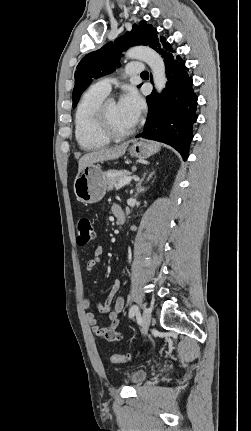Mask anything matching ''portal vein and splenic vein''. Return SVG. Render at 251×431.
<instances>
[{
    "mask_svg": "<svg viewBox=\"0 0 251 431\" xmlns=\"http://www.w3.org/2000/svg\"><path fill=\"white\" fill-rule=\"evenodd\" d=\"M131 180H132V177H130V176H127V177H125V178L121 179V180L119 181L118 185L116 186V189H119V188H121L122 186H124V185H126V184L130 183V182H131Z\"/></svg>",
    "mask_w": 251,
    "mask_h": 431,
    "instance_id": "18ae733b",
    "label": "portal vein and splenic vein"
}]
</instances>
